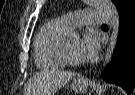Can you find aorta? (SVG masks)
<instances>
[{"instance_id": "obj_1", "label": "aorta", "mask_w": 135, "mask_h": 95, "mask_svg": "<svg viewBox=\"0 0 135 95\" xmlns=\"http://www.w3.org/2000/svg\"><path fill=\"white\" fill-rule=\"evenodd\" d=\"M88 1H90V3L95 7L102 9L109 20L111 28V37L103 60V66L105 67L112 60L113 51L117 43V37L120 26L119 13L111 0H88ZM73 35L75 36V34Z\"/></svg>"}]
</instances>
